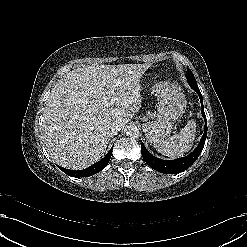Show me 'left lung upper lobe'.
I'll use <instances>...</instances> for the list:
<instances>
[{
    "label": "left lung upper lobe",
    "mask_w": 247,
    "mask_h": 247,
    "mask_svg": "<svg viewBox=\"0 0 247 247\" xmlns=\"http://www.w3.org/2000/svg\"><path fill=\"white\" fill-rule=\"evenodd\" d=\"M186 77L188 83L196 84V79L190 69L187 68Z\"/></svg>",
    "instance_id": "left-lung-upper-lobe-1"
}]
</instances>
